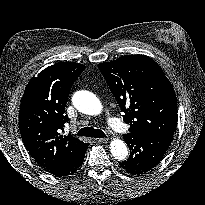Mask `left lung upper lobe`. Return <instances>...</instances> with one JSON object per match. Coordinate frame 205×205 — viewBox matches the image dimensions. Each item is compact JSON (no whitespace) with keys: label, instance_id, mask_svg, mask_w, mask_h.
<instances>
[{"label":"left lung upper lobe","instance_id":"5c2ea615","mask_svg":"<svg viewBox=\"0 0 205 205\" xmlns=\"http://www.w3.org/2000/svg\"><path fill=\"white\" fill-rule=\"evenodd\" d=\"M98 68L125 113L124 122L130 124V133L124 136L174 134L175 92L155 61L144 55L122 56Z\"/></svg>","mask_w":205,"mask_h":205}]
</instances>
